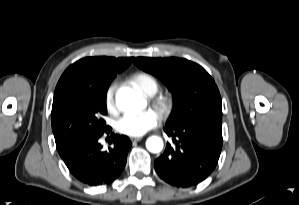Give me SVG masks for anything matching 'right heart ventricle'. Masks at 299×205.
Masks as SVG:
<instances>
[{"instance_id":"obj_1","label":"right heart ventricle","mask_w":299,"mask_h":205,"mask_svg":"<svg viewBox=\"0 0 299 205\" xmlns=\"http://www.w3.org/2000/svg\"><path fill=\"white\" fill-rule=\"evenodd\" d=\"M131 84L142 94L151 96L159 88L158 81L149 73L138 72L130 77Z\"/></svg>"}]
</instances>
